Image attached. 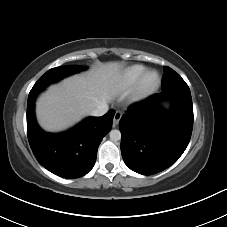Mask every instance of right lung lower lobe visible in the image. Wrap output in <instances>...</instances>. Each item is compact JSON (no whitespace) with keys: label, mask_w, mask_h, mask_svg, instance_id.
<instances>
[{"label":"right lung lower lobe","mask_w":227,"mask_h":227,"mask_svg":"<svg viewBox=\"0 0 227 227\" xmlns=\"http://www.w3.org/2000/svg\"><path fill=\"white\" fill-rule=\"evenodd\" d=\"M38 94L29 95L27 103V133L33 154L43 167L60 177L84 176L93 168L99 144L112 127L114 110L102 117H89L65 133L50 134L35 120Z\"/></svg>","instance_id":"1"}]
</instances>
